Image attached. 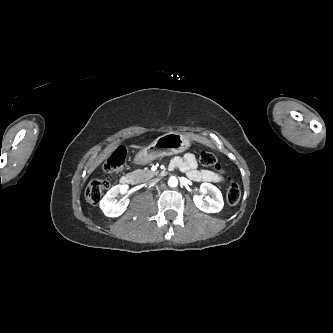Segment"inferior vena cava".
Wrapping results in <instances>:
<instances>
[{
	"label": "inferior vena cava",
	"mask_w": 333,
	"mask_h": 333,
	"mask_svg": "<svg viewBox=\"0 0 333 333\" xmlns=\"http://www.w3.org/2000/svg\"><path fill=\"white\" fill-rule=\"evenodd\" d=\"M158 180L157 179H153V180H150L148 182L149 185L153 186Z\"/></svg>",
	"instance_id": "obj_1"
}]
</instances>
